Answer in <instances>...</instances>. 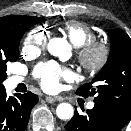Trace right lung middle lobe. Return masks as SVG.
<instances>
[{"instance_id":"dd1d6c3e","label":"right lung middle lobe","mask_w":131,"mask_h":131,"mask_svg":"<svg viewBox=\"0 0 131 131\" xmlns=\"http://www.w3.org/2000/svg\"><path fill=\"white\" fill-rule=\"evenodd\" d=\"M43 18L33 16L20 17L9 29V40L0 45V87L6 79V68L8 62H15L19 57V42L25 31L31 26L41 22Z\"/></svg>"}]
</instances>
